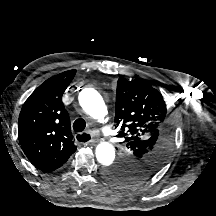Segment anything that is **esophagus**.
Wrapping results in <instances>:
<instances>
[{"label":"esophagus","mask_w":216,"mask_h":216,"mask_svg":"<svg viewBox=\"0 0 216 216\" xmlns=\"http://www.w3.org/2000/svg\"><path fill=\"white\" fill-rule=\"evenodd\" d=\"M84 135L85 138H90L88 141L84 142L85 144H94L97 142V139L94 138V136H92L90 133L86 132V133H79L76 135V139L78 140V137ZM79 141V140H78Z\"/></svg>","instance_id":"obj_1"}]
</instances>
